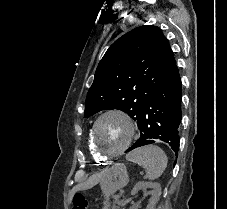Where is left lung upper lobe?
I'll use <instances>...</instances> for the list:
<instances>
[{
  "instance_id": "obj_1",
  "label": "left lung upper lobe",
  "mask_w": 227,
  "mask_h": 209,
  "mask_svg": "<svg viewBox=\"0 0 227 209\" xmlns=\"http://www.w3.org/2000/svg\"><path fill=\"white\" fill-rule=\"evenodd\" d=\"M176 60L160 28L140 26L117 39L98 64L85 105V117L119 109L133 120L176 69Z\"/></svg>"
}]
</instances>
